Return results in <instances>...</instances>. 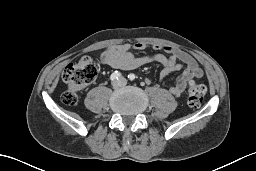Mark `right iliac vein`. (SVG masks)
I'll return each mask as SVG.
<instances>
[{"instance_id": "63e3f726", "label": "right iliac vein", "mask_w": 256, "mask_h": 171, "mask_svg": "<svg viewBox=\"0 0 256 171\" xmlns=\"http://www.w3.org/2000/svg\"><path fill=\"white\" fill-rule=\"evenodd\" d=\"M112 86H113V88L117 89L121 86V82L120 81H115V82H113Z\"/></svg>"}]
</instances>
